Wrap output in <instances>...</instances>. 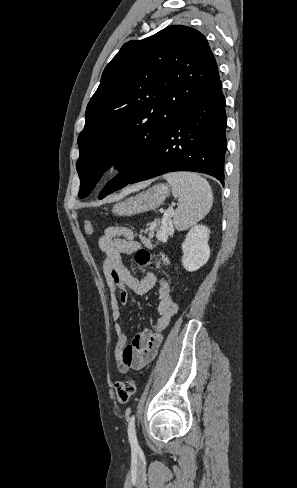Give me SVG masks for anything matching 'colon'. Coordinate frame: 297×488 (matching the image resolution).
Segmentation results:
<instances>
[{"label": "colon", "mask_w": 297, "mask_h": 488, "mask_svg": "<svg viewBox=\"0 0 297 488\" xmlns=\"http://www.w3.org/2000/svg\"><path fill=\"white\" fill-rule=\"evenodd\" d=\"M85 231L88 234H92L94 232V227L91 222L85 223ZM136 261L141 267H145L151 263V256L147 251L142 250L137 252ZM154 264L156 265V267H161V266L170 265V262L167 258L161 257L157 259L154 262ZM114 389H115L117 400L121 404H125L128 401H130V399L135 394L136 391L135 380L132 377H128L124 380L118 381L115 383Z\"/></svg>", "instance_id": "obj_1"}]
</instances>
